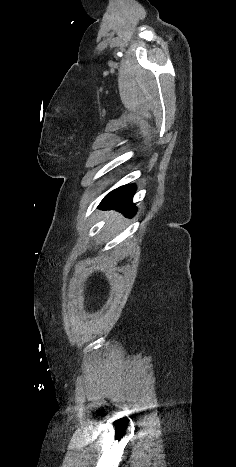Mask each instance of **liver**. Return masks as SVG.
Wrapping results in <instances>:
<instances>
[{"label":"liver","instance_id":"6515ba94","mask_svg":"<svg viewBox=\"0 0 236 467\" xmlns=\"http://www.w3.org/2000/svg\"><path fill=\"white\" fill-rule=\"evenodd\" d=\"M108 215L110 216V221L109 222L119 223L121 221V219H122L120 214L115 213V212H110V213H108Z\"/></svg>","mask_w":236,"mask_h":467}]
</instances>
